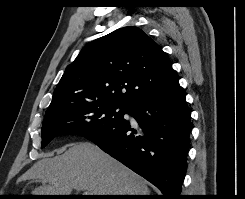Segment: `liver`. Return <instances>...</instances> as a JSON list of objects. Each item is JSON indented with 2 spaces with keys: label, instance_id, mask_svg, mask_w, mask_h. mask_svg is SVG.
<instances>
[{
  "label": "liver",
  "instance_id": "1",
  "mask_svg": "<svg viewBox=\"0 0 245 199\" xmlns=\"http://www.w3.org/2000/svg\"><path fill=\"white\" fill-rule=\"evenodd\" d=\"M40 179L33 195H149L145 180L91 142H77L62 155L36 162L18 182Z\"/></svg>",
  "mask_w": 245,
  "mask_h": 199
}]
</instances>
